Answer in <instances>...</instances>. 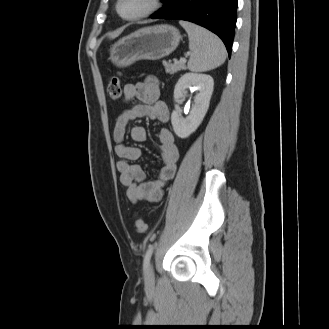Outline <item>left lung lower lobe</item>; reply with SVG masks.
<instances>
[{"label":"left lung lower lobe","instance_id":"obj_1","mask_svg":"<svg viewBox=\"0 0 329 329\" xmlns=\"http://www.w3.org/2000/svg\"><path fill=\"white\" fill-rule=\"evenodd\" d=\"M238 0H163L153 19H178L196 23L215 33L231 54Z\"/></svg>","mask_w":329,"mask_h":329}]
</instances>
